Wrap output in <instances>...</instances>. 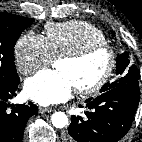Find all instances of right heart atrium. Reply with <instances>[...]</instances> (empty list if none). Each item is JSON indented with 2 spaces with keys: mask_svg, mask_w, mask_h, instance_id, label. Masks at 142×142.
I'll return each mask as SVG.
<instances>
[{
  "mask_svg": "<svg viewBox=\"0 0 142 142\" xmlns=\"http://www.w3.org/2000/svg\"><path fill=\"white\" fill-rule=\"evenodd\" d=\"M14 59L18 70L24 75L52 62L44 37L31 31L26 32L16 41Z\"/></svg>",
  "mask_w": 142,
  "mask_h": 142,
  "instance_id": "d8ad5b80",
  "label": "right heart atrium"
}]
</instances>
